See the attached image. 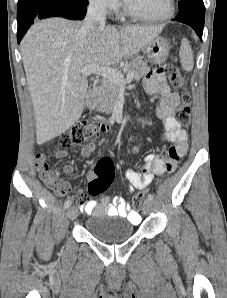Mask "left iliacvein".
Listing matches in <instances>:
<instances>
[{
  "label": "left iliac vein",
  "mask_w": 227,
  "mask_h": 298,
  "mask_svg": "<svg viewBox=\"0 0 227 298\" xmlns=\"http://www.w3.org/2000/svg\"><path fill=\"white\" fill-rule=\"evenodd\" d=\"M152 200H145L142 210L144 214H149L152 211Z\"/></svg>",
  "instance_id": "left-iliac-vein-1"
}]
</instances>
